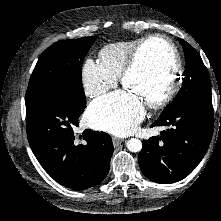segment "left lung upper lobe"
<instances>
[{"mask_svg":"<svg viewBox=\"0 0 221 221\" xmlns=\"http://www.w3.org/2000/svg\"><path fill=\"white\" fill-rule=\"evenodd\" d=\"M179 41L183 46L186 58L182 87L176 98L164 109L161 115L173 113L193 102H212L209 74L200 55L186 41L182 39Z\"/></svg>","mask_w":221,"mask_h":221,"instance_id":"5c2ea615","label":"left lung upper lobe"}]
</instances>
